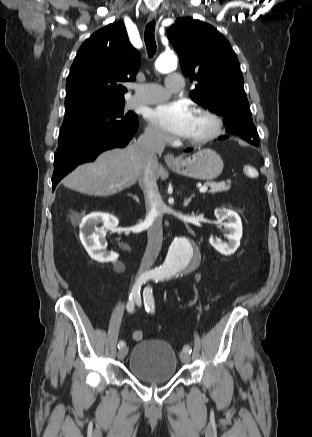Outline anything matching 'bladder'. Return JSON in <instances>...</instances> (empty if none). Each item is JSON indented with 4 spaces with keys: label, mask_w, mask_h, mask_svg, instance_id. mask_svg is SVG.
<instances>
[{
    "label": "bladder",
    "mask_w": 312,
    "mask_h": 437,
    "mask_svg": "<svg viewBox=\"0 0 312 437\" xmlns=\"http://www.w3.org/2000/svg\"><path fill=\"white\" fill-rule=\"evenodd\" d=\"M176 370V352L164 340H143L132 349L129 358V371L131 375L142 382L166 383L175 376Z\"/></svg>",
    "instance_id": "31cf9c89"
}]
</instances>
